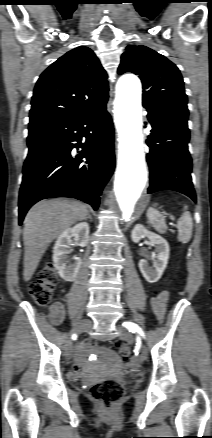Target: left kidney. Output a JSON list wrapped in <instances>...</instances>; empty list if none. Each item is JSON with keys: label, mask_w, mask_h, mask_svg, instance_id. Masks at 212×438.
<instances>
[{"label": "left kidney", "mask_w": 212, "mask_h": 438, "mask_svg": "<svg viewBox=\"0 0 212 438\" xmlns=\"http://www.w3.org/2000/svg\"><path fill=\"white\" fill-rule=\"evenodd\" d=\"M145 237L155 246L156 254L153 259V268L149 267L145 260H140L138 265L145 280L149 283H155L161 278L167 266L170 251L169 244L162 236L149 231L141 224H137L131 233L132 241L138 243Z\"/></svg>", "instance_id": "5707ae66"}]
</instances>
